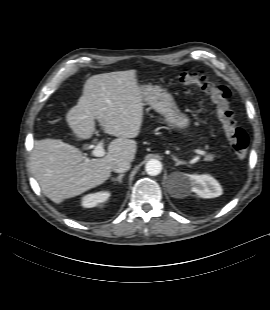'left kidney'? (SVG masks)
Wrapping results in <instances>:
<instances>
[{
  "label": "left kidney",
  "mask_w": 270,
  "mask_h": 310,
  "mask_svg": "<svg viewBox=\"0 0 270 310\" xmlns=\"http://www.w3.org/2000/svg\"><path fill=\"white\" fill-rule=\"evenodd\" d=\"M187 191H192L202 198H215L222 195V188L218 181L207 174H185L183 187L179 190V193L184 194Z\"/></svg>",
  "instance_id": "1"
}]
</instances>
